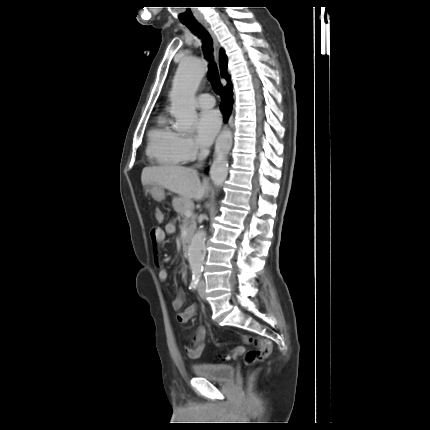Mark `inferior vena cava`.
<instances>
[{
	"mask_svg": "<svg viewBox=\"0 0 430 430\" xmlns=\"http://www.w3.org/2000/svg\"><path fill=\"white\" fill-rule=\"evenodd\" d=\"M208 154H209V149L202 148L200 151V154H199V161L204 160L208 156ZM199 166H201V165H199Z\"/></svg>",
	"mask_w": 430,
	"mask_h": 430,
	"instance_id": "obj_1",
	"label": "inferior vena cava"
}]
</instances>
